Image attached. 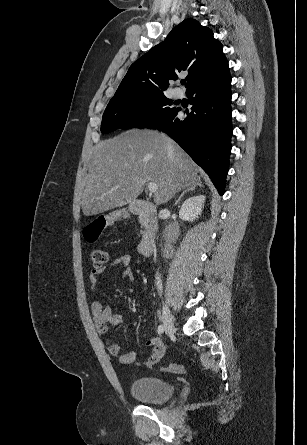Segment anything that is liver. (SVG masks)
Here are the masks:
<instances>
[{"mask_svg":"<svg viewBox=\"0 0 307 445\" xmlns=\"http://www.w3.org/2000/svg\"><path fill=\"white\" fill-rule=\"evenodd\" d=\"M168 142L174 150H169ZM197 172V164L164 132L126 130L95 144L85 178L82 212L92 216L124 206L143 192L149 180L157 184L154 202H168L175 192L198 180Z\"/></svg>","mask_w":307,"mask_h":445,"instance_id":"obj_1","label":"liver"}]
</instances>
